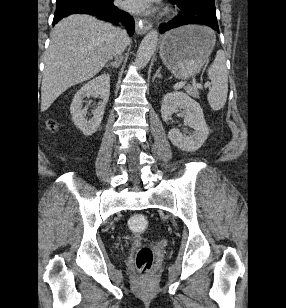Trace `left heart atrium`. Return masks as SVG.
I'll list each match as a JSON object with an SVG mask.
<instances>
[{
    "label": "left heart atrium",
    "instance_id": "1",
    "mask_svg": "<svg viewBox=\"0 0 286 308\" xmlns=\"http://www.w3.org/2000/svg\"><path fill=\"white\" fill-rule=\"evenodd\" d=\"M150 0H126L125 7L133 12H144L149 8Z\"/></svg>",
    "mask_w": 286,
    "mask_h": 308
}]
</instances>
